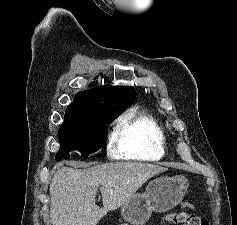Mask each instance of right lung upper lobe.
Segmentation results:
<instances>
[{"instance_id": "right-lung-upper-lobe-1", "label": "right lung upper lobe", "mask_w": 237, "mask_h": 225, "mask_svg": "<svg viewBox=\"0 0 237 225\" xmlns=\"http://www.w3.org/2000/svg\"><path fill=\"white\" fill-rule=\"evenodd\" d=\"M135 99V89L128 86L105 85L79 92L66 110L65 121L86 123L99 111L120 115Z\"/></svg>"}]
</instances>
